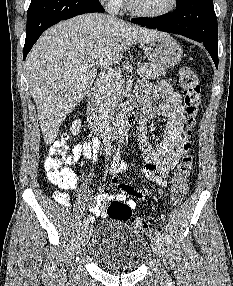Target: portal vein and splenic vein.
<instances>
[{
  "label": "portal vein and splenic vein",
  "instance_id": "obj_1",
  "mask_svg": "<svg viewBox=\"0 0 233 286\" xmlns=\"http://www.w3.org/2000/svg\"><path fill=\"white\" fill-rule=\"evenodd\" d=\"M109 70V73L114 76V77H119L120 76V73L115 71L114 69L112 68H107ZM137 74L141 75L143 74V70L142 69H137Z\"/></svg>",
  "mask_w": 233,
  "mask_h": 286
}]
</instances>
